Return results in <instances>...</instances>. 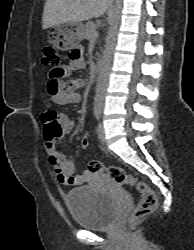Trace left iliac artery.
<instances>
[{
  "mask_svg": "<svg viewBox=\"0 0 194 250\" xmlns=\"http://www.w3.org/2000/svg\"><path fill=\"white\" fill-rule=\"evenodd\" d=\"M96 117H97V119H99V118H100V114L98 113V114L96 115Z\"/></svg>",
  "mask_w": 194,
  "mask_h": 250,
  "instance_id": "44dca946",
  "label": "left iliac artery"
}]
</instances>
